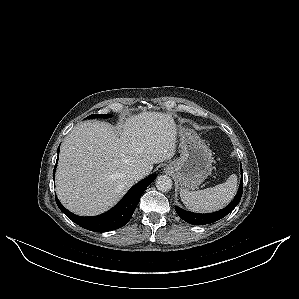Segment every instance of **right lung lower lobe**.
I'll return each instance as SVG.
<instances>
[{
    "mask_svg": "<svg viewBox=\"0 0 299 299\" xmlns=\"http://www.w3.org/2000/svg\"><path fill=\"white\" fill-rule=\"evenodd\" d=\"M59 149L60 146L58 148V155ZM55 168L56 165L54 167L53 176L55 173ZM155 178L156 175H150L147 178L143 179L142 181L134 185L114 208L98 216H77L68 211L65 207H63L60 201L57 199V197L56 203L59 209L66 216H68L73 222H75L82 228H85L93 232H107L111 230H116L128 223L140 201L141 195L143 194L145 189L155 180Z\"/></svg>",
    "mask_w": 299,
    "mask_h": 299,
    "instance_id": "1",
    "label": "right lung lower lobe"
}]
</instances>
